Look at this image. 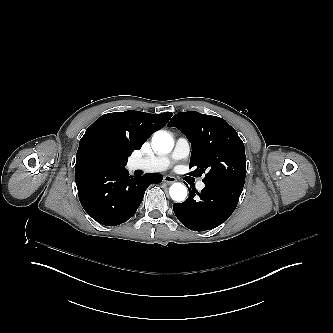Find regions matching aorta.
Here are the masks:
<instances>
[{"mask_svg":"<svg viewBox=\"0 0 333 333\" xmlns=\"http://www.w3.org/2000/svg\"><path fill=\"white\" fill-rule=\"evenodd\" d=\"M152 145L156 152L170 153L174 147L173 138L165 131H156L152 137ZM169 194L174 201L182 202L187 196V188L181 183H173L169 188Z\"/></svg>","mask_w":333,"mask_h":333,"instance_id":"obj_1","label":"aorta"}]
</instances>
